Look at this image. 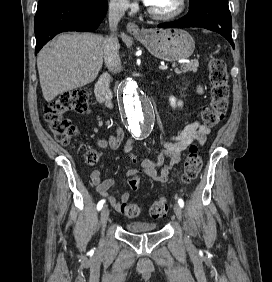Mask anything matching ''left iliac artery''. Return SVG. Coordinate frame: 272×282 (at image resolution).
<instances>
[{"instance_id": "1", "label": "left iliac artery", "mask_w": 272, "mask_h": 282, "mask_svg": "<svg viewBox=\"0 0 272 282\" xmlns=\"http://www.w3.org/2000/svg\"><path fill=\"white\" fill-rule=\"evenodd\" d=\"M178 204L180 205V207H183L184 206V201L182 199H179L178 200Z\"/></svg>"}]
</instances>
